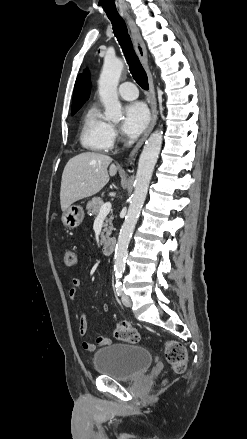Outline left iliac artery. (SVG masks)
<instances>
[{
  "mask_svg": "<svg viewBox=\"0 0 247 439\" xmlns=\"http://www.w3.org/2000/svg\"><path fill=\"white\" fill-rule=\"evenodd\" d=\"M115 287H116V293H117V295L120 296V295L122 294V292H123L122 284H121V283H117V284L115 285Z\"/></svg>",
  "mask_w": 247,
  "mask_h": 439,
  "instance_id": "obj_1",
  "label": "left iliac artery"
}]
</instances>
